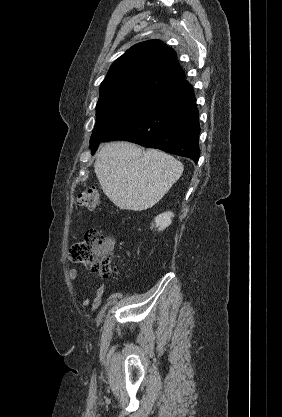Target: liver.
<instances>
[{"label":"liver","mask_w":282,"mask_h":417,"mask_svg":"<svg viewBox=\"0 0 282 417\" xmlns=\"http://www.w3.org/2000/svg\"><path fill=\"white\" fill-rule=\"evenodd\" d=\"M94 170L106 196L128 211L151 209L180 178L183 164L157 148L142 152L132 142H107Z\"/></svg>","instance_id":"liver-1"}]
</instances>
